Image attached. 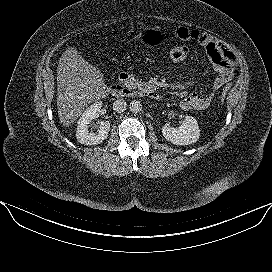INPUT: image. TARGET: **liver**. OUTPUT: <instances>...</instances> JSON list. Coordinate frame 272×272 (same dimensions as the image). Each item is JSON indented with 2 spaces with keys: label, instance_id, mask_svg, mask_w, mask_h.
I'll list each match as a JSON object with an SVG mask.
<instances>
[{
  "label": "liver",
  "instance_id": "1",
  "mask_svg": "<svg viewBox=\"0 0 272 272\" xmlns=\"http://www.w3.org/2000/svg\"><path fill=\"white\" fill-rule=\"evenodd\" d=\"M57 109L60 123L69 127L88 104L107 93L103 74L74 47L63 53L57 67Z\"/></svg>",
  "mask_w": 272,
  "mask_h": 272
}]
</instances>
